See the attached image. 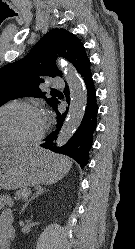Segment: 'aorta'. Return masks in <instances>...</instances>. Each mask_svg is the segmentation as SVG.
Listing matches in <instances>:
<instances>
[{
  "label": "aorta",
  "instance_id": "aorta-1",
  "mask_svg": "<svg viewBox=\"0 0 135 249\" xmlns=\"http://www.w3.org/2000/svg\"><path fill=\"white\" fill-rule=\"evenodd\" d=\"M64 77L70 88L71 102L66 120L57 136V146L65 145L73 136L84 116L87 92L81 77L75 68L66 62L61 63Z\"/></svg>",
  "mask_w": 135,
  "mask_h": 249
}]
</instances>
